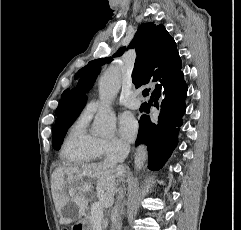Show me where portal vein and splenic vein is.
Segmentation results:
<instances>
[{"instance_id":"18ae733b","label":"portal vein and splenic vein","mask_w":241,"mask_h":230,"mask_svg":"<svg viewBox=\"0 0 241 230\" xmlns=\"http://www.w3.org/2000/svg\"><path fill=\"white\" fill-rule=\"evenodd\" d=\"M88 188H86L87 190ZM109 204V201L101 200L99 202H96L91 207V214H92V221L95 226L99 227L101 226L102 220H103V207L105 205Z\"/></svg>"}]
</instances>
